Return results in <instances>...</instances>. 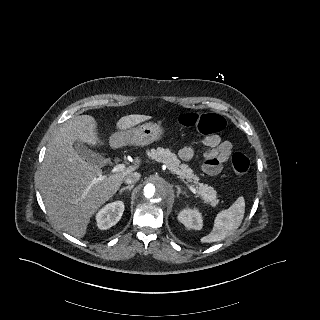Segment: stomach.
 Instances as JSON below:
<instances>
[{"label": "stomach", "instance_id": "1", "mask_svg": "<svg viewBox=\"0 0 320 320\" xmlns=\"http://www.w3.org/2000/svg\"><path fill=\"white\" fill-rule=\"evenodd\" d=\"M163 128L156 123H145L126 131L125 140L120 145L145 146L162 139ZM117 136L113 137L116 142Z\"/></svg>", "mask_w": 320, "mask_h": 320}]
</instances>
